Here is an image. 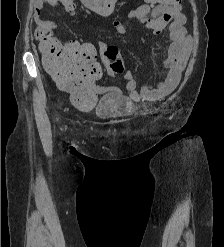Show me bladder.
Listing matches in <instances>:
<instances>
[{"mask_svg":"<svg viewBox=\"0 0 224 247\" xmlns=\"http://www.w3.org/2000/svg\"><path fill=\"white\" fill-rule=\"evenodd\" d=\"M94 112L99 119L106 121L118 119L123 114L119 98L111 93L102 97Z\"/></svg>","mask_w":224,"mask_h":247,"instance_id":"1","label":"bladder"}]
</instances>
